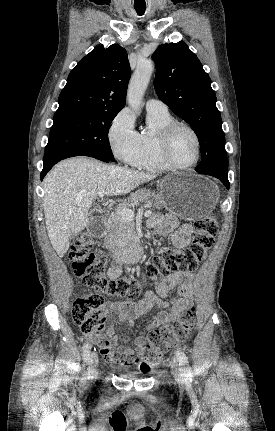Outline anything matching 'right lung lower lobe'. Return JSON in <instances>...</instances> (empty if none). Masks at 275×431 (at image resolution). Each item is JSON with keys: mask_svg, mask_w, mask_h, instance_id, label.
<instances>
[{"mask_svg": "<svg viewBox=\"0 0 275 431\" xmlns=\"http://www.w3.org/2000/svg\"><path fill=\"white\" fill-rule=\"evenodd\" d=\"M74 156H89L96 159H99L101 161L110 162L108 158L101 155L100 153L86 150V149H66V150H60V151H54V152H48L44 155V166L43 170L41 172V180H43L44 176L47 174V172L60 160L74 157Z\"/></svg>", "mask_w": 275, "mask_h": 431, "instance_id": "obj_1", "label": "right lung lower lobe"}]
</instances>
